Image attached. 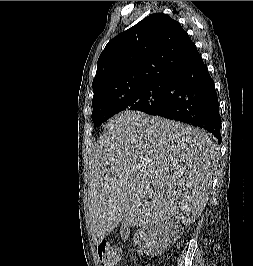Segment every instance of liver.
I'll list each match as a JSON object with an SVG mask.
<instances>
[{"label": "liver", "instance_id": "1", "mask_svg": "<svg viewBox=\"0 0 253 266\" xmlns=\"http://www.w3.org/2000/svg\"><path fill=\"white\" fill-rule=\"evenodd\" d=\"M218 157L216 139L202 129L135 111L115 115L89 161L94 244L119 223L191 225L205 208Z\"/></svg>", "mask_w": 253, "mask_h": 266}]
</instances>
